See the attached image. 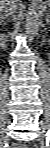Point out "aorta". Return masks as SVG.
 <instances>
[{"instance_id": "obj_1", "label": "aorta", "mask_w": 50, "mask_h": 148, "mask_svg": "<svg viewBox=\"0 0 50 148\" xmlns=\"http://www.w3.org/2000/svg\"><path fill=\"white\" fill-rule=\"evenodd\" d=\"M45 9V3H43L42 0H32L28 8L25 27L26 34L30 42L33 41L34 37L38 33Z\"/></svg>"}]
</instances>
